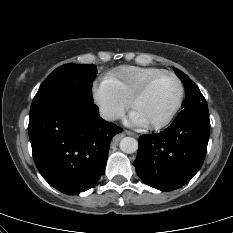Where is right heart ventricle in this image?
<instances>
[{
  "mask_svg": "<svg viewBox=\"0 0 233 233\" xmlns=\"http://www.w3.org/2000/svg\"><path fill=\"white\" fill-rule=\"evenodd\" d=\"M163 71L156 67L123 66L106 75L103 84L120 100L128 103L147 80Z\"/></svg>",
  "mask_w": 233,
  "mask_h": 233,
  "instance_id": "obj_1",
  "label": "right heart ventricle"
}]
</instances>
